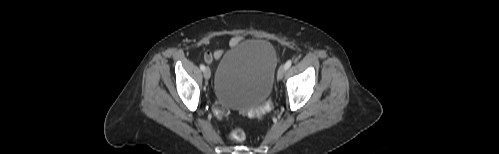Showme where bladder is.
Segmentation results:
<instances>
[{
    "label": "bladder",
    "mask_w": 499,
    "mask_h": 154,
    "mask_svg": "<svg viewBox=\"0 0 499 154\" xmlns=\"http://www.w3.org/2000/svg\"><path fill=\"white\" fill-rule=\"evenodd\" d=\"M276 66V50L265 39H252L231 48L216 69V98L234 110L263 103L271 92Z\"/></svg>",
    "instance_id": "1"
}]
</instances>
